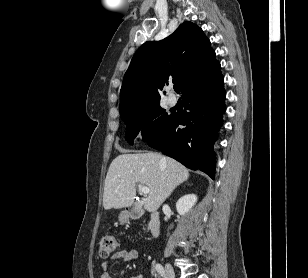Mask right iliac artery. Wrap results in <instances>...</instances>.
Masks as SVG:
<instances>
[{
    "label": "right iliac artery",
    "mask_w": 308,
    "mask_h": 278,
    "mask_svg": "<svg viewBox=\"0 0 308 278\" xmlns=\"http://www.w3.org/2000/svg\"><path fill=\"white\" fill-rule=\"evenodd\" d=\"M157 272L161 275V276H164L165 277V271H164V268L161 264H156L155 266Z\"/></svg>",
    "instance_id": "1"
}]
</instances>
